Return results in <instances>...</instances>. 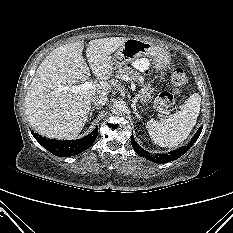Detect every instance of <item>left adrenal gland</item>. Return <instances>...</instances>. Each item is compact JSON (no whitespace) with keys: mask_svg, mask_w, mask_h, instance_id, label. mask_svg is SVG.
Instances as JSON below:
<instances>
[{"mask_svg":"<svg viewBox=\"0 0 233 233\" xmlns=\"http://www.w3.org/2000/svg\"><path fill=\"white\" fill-rule=\"evenodd\" d=\"M134 113H135V115L137 116V118H140V119H141L140 115H139L137 112H134Z\"/></svg>","mask_w":233,"mask_h":233,"instance_id":"1","label":"left adrenal gland"}]
</instances>
